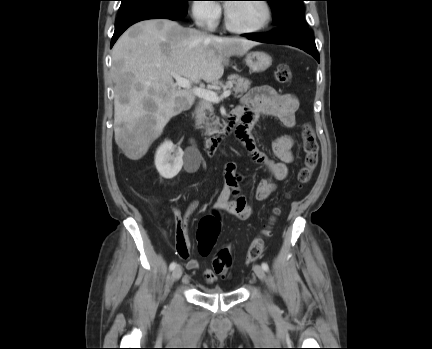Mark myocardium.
I'll return each mask as SVG.
<instances>
[{
  "label": "myocardium",
  "mask_w": 432,
  "mask_h": 349,
  "mask_svg": "<svg viewBox=\"0 0 432 349\" xmlns=\"http://www.w3.org/2000/svg\"><path fill=\"white\" fill-rule=\"evenodd\" d=\"M258 2L262 3V5L265 9V12H266L265 19L259 26L254 27V28H240V27L233 25V23L230 20L228 9L226 8L225 9V26H226V28L229 31H231L233 33H237V34H256V33H260L262 31H264L272 21L273 11H272L271 4L269 3L268 0H258Z\"/></svg>",
  "instance_id": "myocardium-1"
}]
</instances>
